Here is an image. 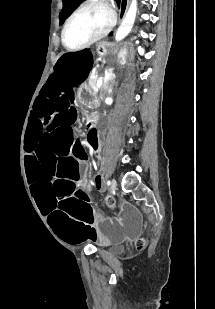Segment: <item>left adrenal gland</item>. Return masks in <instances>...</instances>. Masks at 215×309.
I'll use <instances>...</instances> for the list:
<instances>
[{
    "mask_svg": "<svg viewBox=\"0 0 215 309\" xmlns=\"http://www.w3.org/2000/svg\"><path fill=\"white\" fill-rule=\"evenodd\" d=\"M114 68H110L109 70V76L107 78V80H105V82H107V86L109 84V82H115V72H113Z\"/></svg>",
    "mask_w": 215,
    "mask_h": 309,
    "instance_id": "left-adrenal-gland-1",
    "label": "left adrenal gland"
}]
</instances>
